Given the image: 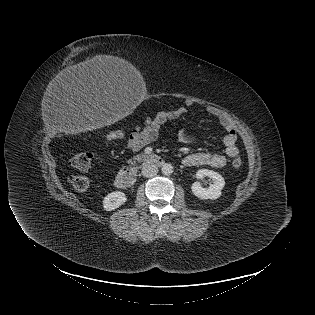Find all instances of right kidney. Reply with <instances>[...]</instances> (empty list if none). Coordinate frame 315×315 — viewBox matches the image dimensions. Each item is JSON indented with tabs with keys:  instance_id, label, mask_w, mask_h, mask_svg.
Segmentation results:
<instances>
[{
	"instance_id": "obj_1",
	"label": "right kidney",
	"mask_w": 315,
	"mask_h": 315,
	"mask_svg": "<svg viewBox=\"0 0 315 315\" xmlns=\"http://www.w3.org/2000/svg\"><path fill=\"white\" fill-rule=\"evenodd\" d=\"M127 201L126 195L121 191H114L108 194L103 200V208L112 211L120 207Z\"/></svg>"
}]
</instances>
